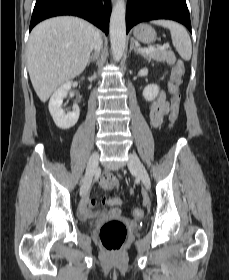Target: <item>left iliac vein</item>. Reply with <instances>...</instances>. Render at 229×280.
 <instances>
[{
    "instance_id": "1",
    "label": "left iliac vein",
    "mask_w": 229,
    "mask_h": 280,
    "mask_svg": "<svg viewBox=\"0 0 229 280\" xmlns=\"http://www.w3.org/2000/svg\"><path fill=\"white\" fill-rule=\"evenodd\" d=\"M128 167L137 174L145 188L150 189L151 184L147 170L137 156L133 154L129 155Z\"/></svg>"
}]
</instances>
